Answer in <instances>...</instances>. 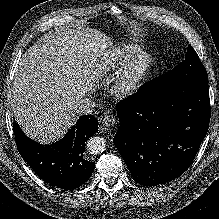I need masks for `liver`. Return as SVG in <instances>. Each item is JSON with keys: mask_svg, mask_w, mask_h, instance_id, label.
Segmentation results:
<instances>
[{"mask_svg": "<svg viewBox=\"0 0 219 219\" xmlns=\"http://www.w3.org/2000/svg\"><path fill=\"white\" fill-rule=\"evenodd\" d=\"M109 45L102 32L77 26L45 37L22 55L10 95L27 136L49 144L75 124L74 105L92 89L94 64Z\"/></svg>", "mask_w": 219, "mask_h": 219, "instance_id": "liver-1", "label": "liver"}]
</instances>
